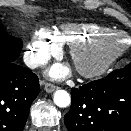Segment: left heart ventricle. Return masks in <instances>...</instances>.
<instances>
[{
	"mask_svg": "<svg viewBox=\"0 0 131 131\" xmlns=\"http://www.w3.org/2000/svg\"><path fill=\"white\" fill-rule=\"evenodd\" d=\"M125 42L123 38H114L106 41L99 48L81 53L76 58L77 65L91 67L104 60L111 52L121 47Z\"/></svg>",
	"mask_w": 131,
	"mask_h": 131,
	"instance_id": "1",
	"label": "left heart ventricle"
}]
</instances>
